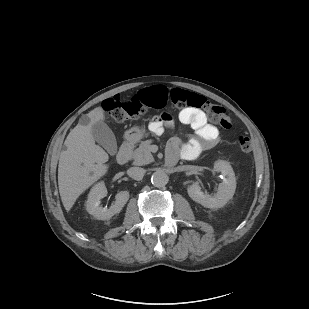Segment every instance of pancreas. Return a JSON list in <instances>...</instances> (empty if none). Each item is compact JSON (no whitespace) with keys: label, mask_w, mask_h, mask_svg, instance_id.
Returning <instances> with one entry per match:
<instances>
[{"label":"pancreas","mask_w":309,"mask_h":309,"mask_svg":"<svg viewBox=\"0 0 309 309\" xmlns=\"http://www.w3.org/2000/svg\"><path fill=\"white\" fill-rule=\"evenodd\" d=\"M152 140L142 141L137 149L131 153L134 165H146L153 161V156L149 150Z\"/></svg>","instance_id":"1"}]
</instances>
